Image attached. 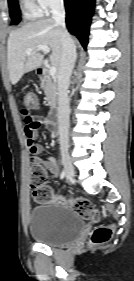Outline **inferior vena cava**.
<instances>
[{
  "label": "inferior vena cava",
  "instance_id": "inferior-vena-cava-1",
  "mask_svg": "<svg viewBox=\"0 0 134 281\" xmlns=\"http://www.w3.org/2000/svg\"><path fill=\"white\" fill-rule=\"evenodd\" d=\"M52 19L60 28L62 57L58 70V132L59 142L63 148L68 147L69 134V97L68 87L76 61V46L65 26V8L63 0H53L51 4Z\"/></svg>",
  "mask_w": 134,
  "mask_h": 281
}]
</instances>
